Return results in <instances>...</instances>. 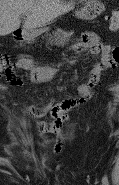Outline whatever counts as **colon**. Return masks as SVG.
<instances>
[{
    "label": "colon",
    "instance_id": "5ec220e1",
    "mask_svg": "<svg viewBox=\"0 0 119 185\" xmlns=\"http://www.w3.org/2000/svg\"><path fill=\"white\" fill-rule=\"evenodd\" d=\"M119 27V13L115 10L110 17V28L115 30ZM102 80V79H101Z\"/></svg>",
    "mask_w": 119,
    "mask_h": 185
}]
</instances>
